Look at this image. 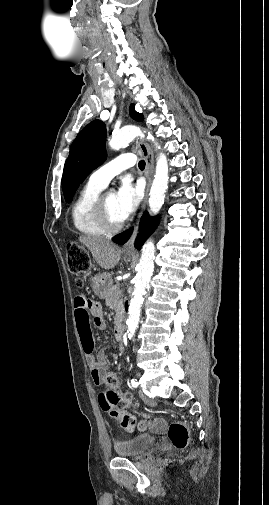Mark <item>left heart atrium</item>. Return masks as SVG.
I'll list each match as a JSON object with an SVG mask.
<instances>
[{"mask_svg":"<svg viewBox=\"0 0 269 505\" xmlns=\"http://www.w3.org/2000/svg\"><path fill=\"white\" fill-rule=\"evenodd\" d=\"M140 189L129 180H123L115 195L116 211L122 221L126 220L138 207Z\"/></svg>","mask_w":269,"mask_h":505,"instance_id":"obj_1","label":"left heart atrium"}]
</instances>
